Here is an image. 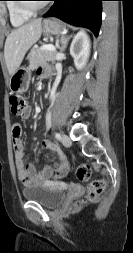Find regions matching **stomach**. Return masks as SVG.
I'll use <instances>...</instances> for the list:
<instances>
[{"label": "stomach", "mask_w": 133, "mask_h": 253, "mask_svg": "<svg viewBox=\"0 0 133 253\" xmlns=\"http://www.w3.org/2000/svg\"><path fill=\"white\" fill-rule=\"evenodd\" d=\"M42 31L45 36H58L64 31V27L56 20L46 19L43 21ZM31 78L30 68L19 67L11 75L9 87L12 92L23 93L29 88Z\"/></svg>", "instance_id": "obj_1"}]
</instances>
